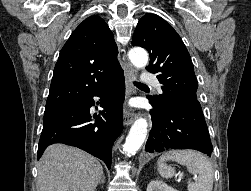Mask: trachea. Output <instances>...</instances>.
Here are the masks:
<instances>
[{
	"mask_svg": "<svg viewBox=\"0 0 251 191\" xmlns=\"http://www.w3.org/2000/svg\"><path fill=\"white\" fill-rule=\"evenodd\" d=\"M134 82V81H133ZM136 86H144V87H147V85H145L144 83H140V82H135L134 83Z\"/></svg>",
	"mask_w": 251,
	"mask_h": 191,
	"instance_id": "3493384b",
	"label": "trachea"
}]
</instances>
